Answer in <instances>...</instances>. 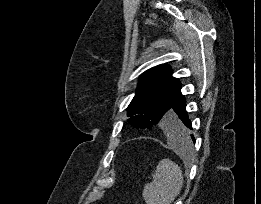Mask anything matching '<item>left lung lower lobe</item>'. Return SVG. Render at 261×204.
Wrapping results in <instances>:
<instances>
[{
    "instance_id": "left-lung-lower-lobe-1",
    "label": "left lung lower lobe",
    "mask_w": 261,
    "mask_h": 204,
    "mask_svg": "<svg viewBox=\"0 0 261 204\" xmlns=\"http://www.w3.org/2000/svg\"><path fill=\"white\" fill-rule=\"evenodd\" d=\"M161 127L176 141H186L189 137L188 129H192V125L186 111L185 98L181 91H179L170 108L169 115ZM191 138L195 142L193 135H191Z\"/></svg>"
}]
</instances>
